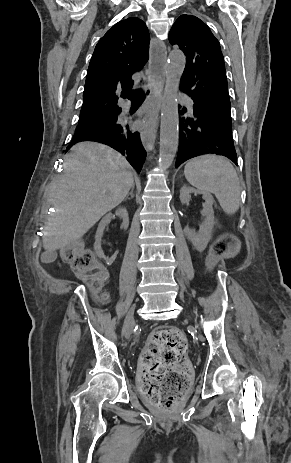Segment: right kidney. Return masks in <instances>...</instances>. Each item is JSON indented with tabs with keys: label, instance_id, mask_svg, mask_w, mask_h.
<instances>
[{
	"label": "right kidney",
	"instance_id": "ca27d5eb",
	"mask_svg": "<svg viewBox=\"0 0 291 463\" xmlns=\"http://www.w3.org/2000/svg\"><path fill=\"white\" fill-rule=\"evenodd\" d=\"M115 214L117 216H120L123 219V227L124 229H127L129 226V216L126 208H119L116 210ZM112 219V214L109 213L106 216L102 218L100 221L96 235H95V243H94V250L98 257L100 258H105L104 252L101 248V238L103 237L104 229L105 227L111 222Z\"/></svg>",
	"mask_w": 291,
	"mask_h": 463
}]
</instances>
